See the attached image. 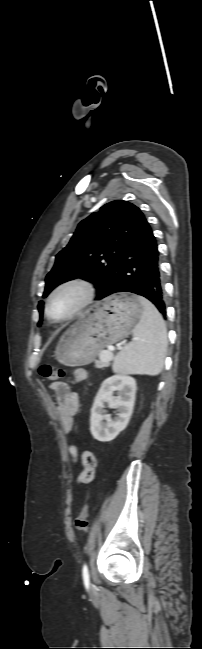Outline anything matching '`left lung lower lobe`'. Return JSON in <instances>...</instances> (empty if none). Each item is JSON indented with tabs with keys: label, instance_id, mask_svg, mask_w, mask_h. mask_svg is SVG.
<instances>
[{
	"label": "left lung lower lobe",
	"instance_id": "0a47b994",
	"mask_svg": "<svg viewBox=\"0 0 202 649\" xmlns=\"http://www.w3.org/2000/svg\"><path fill=\"white\" fill-rule=\"evenodd\" d=\"M158 256L155 237L144 218L126 242L111 280L96 299L131 292L149 299L166 316Z\"/></svg>",
	"mask_w": 202,
	"mask_h": 649
}]
</instances>
